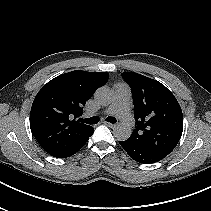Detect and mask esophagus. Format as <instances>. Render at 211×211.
<instances>
[{
    "label": "esophagus",
    "mask_w": 211,
    "mask_h": 211,
    "mask_svg": "<svg viewBox=\"0 0 211 211\" xmlns=\"http://www.w3.org/2000/svg\"><path fill=\"white\" fill-rule=\"evenodd\" d=\"M104 124L107 125L110 128H115L116 127V124H112V123H109V122H104Z\"/></svg>",
    "instance_id": "esophagus-1"
}]
</instances>
